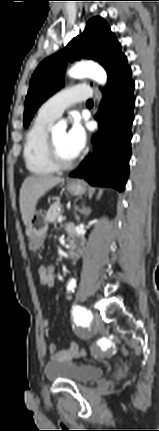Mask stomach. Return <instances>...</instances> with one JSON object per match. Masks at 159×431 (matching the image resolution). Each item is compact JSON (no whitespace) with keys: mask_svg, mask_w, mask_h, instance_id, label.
Listing matches in <instances>:
<instances>
[{"mask_svg":"<svg viewBox=\"0 0 159 431\" xmlns=\"http://www.w3.org/2000/svg\"><path fill=\"white\" fill-rule=\"evenodd\" d=\"M66 189L72 195H80L85 191V187L81 181L67 182ZM47 230L48 222L43 212L34 211L28 226H26V236L29 240V250L37 251L43 247Z\"/></svg>","mask_w":159,"mask_h":431,"instance_id":"obj_1","label":"stomach"}]
</instances>
